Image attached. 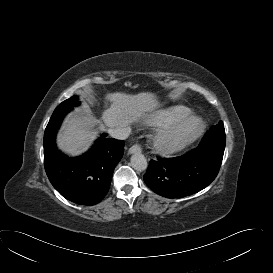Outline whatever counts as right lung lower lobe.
Returning a JSON list of instances; mask_svg holds the SVG:
<instances>
[{"instance_id": "obj_1", "label": "right lung lower lobe", "mask_w": 273, "mask_h": 273, "mask_svg": "<svg viewBox=\"0 0 273 273\" xmlns=\"http://www.w3.org/2000/svg\"><path fill=\"white\" fill-rule=\"evenodd\" d=\"M70 110L55 109L44 133V165L54 188L80 205H95L107 194L113 171L123 156L122 140L102 134L84 155L69 158L57 150L56 134Z\"/></svg>"}]
</instances>
